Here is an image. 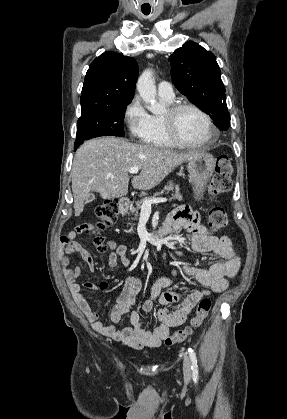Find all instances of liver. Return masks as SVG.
<instances>
[{
  "mask_svg": "<svg viewBox=\"0 0 287 419\" xmlns=\"http://www.w3.org/2000/svg\"><path fill=\"white\" fill-rule=\"evenodd\" d=\"M200 153H178L116 137L86 141L76 151L71 171L75 216L83 212L84 203L92 191L99 192L103 199L125 196L131 167L141 170L131 180L133 188L150 190L183 162Z\"/></svg>",
  "mask_w": 287,
  "mask_h": 419,
  "instance_id": "6515ba94",
  "label": "liver"
}]
</instances>
